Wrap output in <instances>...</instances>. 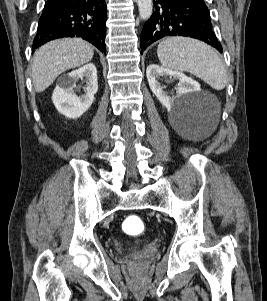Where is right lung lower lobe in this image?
<instances>
[{
  "label": "right lung lower lobe",
  "mask_w": 267,
  "mask_h": 301,
  "mask_svg": "<svg viewBox=\"0 0 267 301\" xmlns=\"http://www.w3.org/2000/svg\"><path fill=\"white\" fill-rule=\"evenodd\" d=\"M105 0H48L39 19L33 51L57 38L81 37L105 53Z\"/></svg>",
  "instance_id": "right-lung-lower-lobe-1"
}]
</instances>
